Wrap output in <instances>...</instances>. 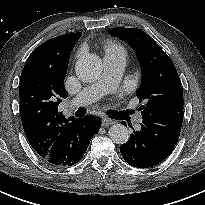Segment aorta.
I'll list each match as a JSON object with an SVG mask.
<instances>
[{
  "label": "aorta",
  "mask_w": 205,
  "mask_h": 205,
  "mask_svg": "<svg viewBox=\"0 0 205 205\" xmlns=\"http://www.w3.org/2000/svg\"><path fill=\"white\" fill-rule=\"evenodd\" d=\"M103 70L102 60L96 54L82 55L75 65L77 77L84 82H92L99 78ZM109 137L116 144H124L129 139V131L122 124H115L109 129Z\"/></svg>",
  "instance_id": "aorta-1"
}]
</instances>
